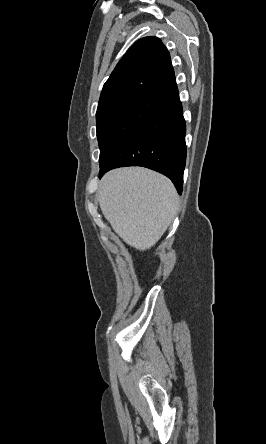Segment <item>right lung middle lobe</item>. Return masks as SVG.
I'll use <instances>...</instances> for the list:
<instances>
[{
	"label": "right lung middle lobe",
	"mask_w": 266,
	"mask_h": 444,
	"mask_svg": "<svg viewBox=\"0 0 266 444\" xmlns=\"http://www.w3.org/2000/svg\"><path fill=\"white\" fill-rule=\"evenodd\" d=\"M165 106L163 100L133 93L98 105L96 112L99 163Z\"/></svg>",
	"instance_id": "dd1d6c3e"
}]
</instances>
